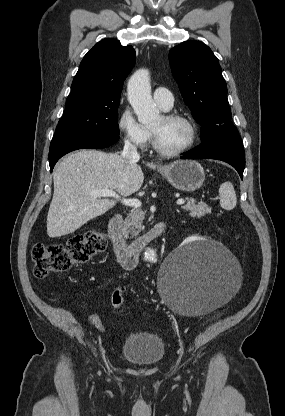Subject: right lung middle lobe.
<instances>
[{
  "instance_id": "obj_1",
  "label": "right lung middle lobe",
  "mask_w": 285,
  "mask_h": 416,
  "mask_svg": "<svg viewBox=\"0 0 285 416\" xmlns=\"http://www.w3.org/2000/svg\"><path fill=\"white\" fill-rule=\"evenodd\" d=\"M119 99L82 100L68 97L55 135L98 134L119 136Z\"/></svg>"
}]
</instances>
